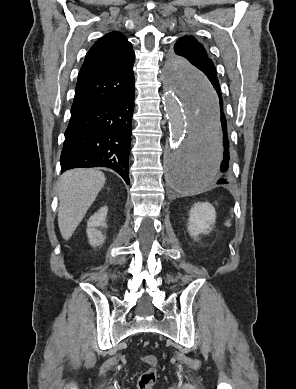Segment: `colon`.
Here are the masks:
<instances>
[{"label":"colon","instance_id":"1","mask_svg":"<svg viewBox=\"0 0 296 389\" xmlns=\"http://www.w3.org/2000/svg\"><path fill=\"white\" fill-rule=\"evenodd\" d=\"M141 360L149 367L141 373L138 379V388L152 389L157 378V358L154 355H144Z\"/></svg>","mask_w":296,"mask_h":389}]
</instances>
